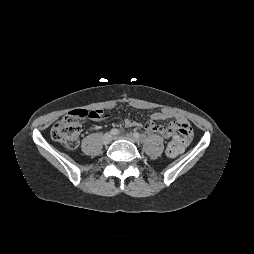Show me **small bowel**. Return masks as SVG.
I'll use <instances>...</instances> for the list:
<instances>
[{"label": "small bowel", "instance_id": "small-bowel-1", "mask_svg": "<svg viewBox=\"0 0 254 254\" xmlns=\"http://www.w3.org/2000/svg\"><path fill=\"white\" fill-rule=\"evenodd\" d=\"M108 115H105L103 111H101V114L98 118H96L95 120L98 119H102L104 117H106ZM173 118L174 120L170 122V124L168 126L165 125H160L157 122L158 121H165L168 119ZM126 127H139L141 126L140 123L132 120V119H125L124 122ZM178 124H187L186 120L184 119V117L180 114H174L171 110L169 109H162L160 111L154 112L151 115L150 120H148L145 124H144V128L149 131V132H155L157 134H160L161 136L165 137V138H170L172 136H174V133L176 131V126ZM185 148V147H184Z\"/></svg>", "mask_w": 254, "mask_h": 254}]
</instances>
